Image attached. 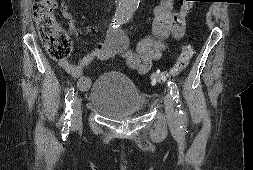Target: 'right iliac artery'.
<instances>
[{
    "mask_svg": "<svg viewBox=\"0 0 253 170\" xmlns=\"http://www.w3.org/2000/svg\"><path fill=\"white\" fill-rule=\"evenodd\" d=\"M123 22H124L123 18L117 17L113 20L112 27L114 29L118 28L120 27V25L123 24ZM74 91H75L74 87H71L65 96L66 108H65V114H64L65 116L64 125L68 127L71 125L69 119H70L71 114L73 113L71 109V103L73 102Z\"/></svg>",
    "mask_w": 253,
    "mask_h": 170,
    "instance_id": "right-iliac-artery-1",
    "label": "right iliac artery"
}]
</instances>
